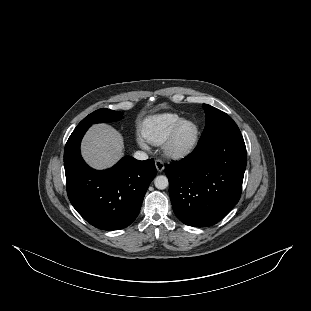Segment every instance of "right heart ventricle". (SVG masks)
<instances>
[{"label":"right heart ventricle","instance_id":"right-heart-ventricle-1","mask_svg":"<svg viewBox=\"0 0 311 311\" xmlns=\"http://www.w3.org/2000/svg\"><path fill=\"white\" fill-rule=\"evenodd\" d=\"M183 120V116L174 112L152 114L138 124V132L143 140L158 146L169 138L177 124Z\"/></svg>","mask_w":311,"mask_h":311}]
</instances>
